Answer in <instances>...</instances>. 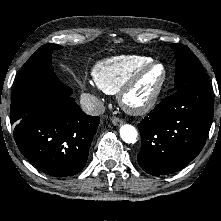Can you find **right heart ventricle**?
<instances>
[{"label":"right heart ventricle","instance_id":"obj_1","mask_svg":"<svg viewBox=\"0 0 221 221\" xmlns=\"http://www.w3.org/2000/svg\"><path fill=\"white\" fill-rule=\"evenodd\" d=\"M152 60L139 55L114 56L98 61L91 74L99 89L115 94L135 71Z\"/></svg>","mask_w":221,"mask_h":221}]
</instances>
